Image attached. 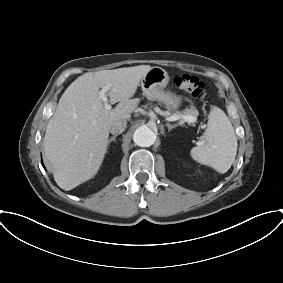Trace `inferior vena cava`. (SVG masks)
I'll use <instances>...</instances> for the list:
<instances>
[{
    "label": "inferior vena cava",
    "instance_id": "602c4592",
    "mask_svg": "<svg viewBox=\"0 0 283 283\" xmlns=\"http://www.w3.org/2000/svg\"><path fill=\"white\" fill-rule=\"evenodd\" d=\"M126 125H127L126 120L116 121L115 123L112 124L110 128V132L114 135L121 134L125 130Z\"/></svg>",
    "mask_w": 283,
    "mask_h": 283
}]
</instances>
